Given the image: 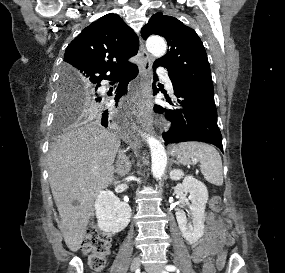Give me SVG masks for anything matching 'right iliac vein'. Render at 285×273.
Returning <instances> with one entry per match:
<instances>
[{
    "mask_svg": "<svg viewBox=\"0 0 285 273\" xmlns=\"http://www.w3.org/2000/svg\"><path fill=\"white\" fill-rule=\"evenodd\" d=\"M140 262H141V258L139 256L135 257L130 264V269L132 271H135L136 269H138L140 266Z\"/></svg>",
    "mask_w": 285,
    "mask_h": 273,
    "instance_id": "1",
    "label": "right iliac vein"
}]
</instances>
